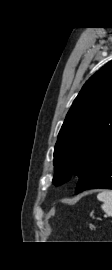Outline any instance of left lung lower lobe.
Masks as SVG:
<instances>
[{
    "label": "left lung lower lobe",
    "instance_id": "left-lung-lower-lobe-1",
    "mask_svg": "<svg viewBox=\"0 0 112 270\" xmlns=\"http://www.w3.org/2000/svg\"><path fill=\"white\" fill-rule=\"evenodd\" d=\"M93 188L112 189V147L91 171L78 182L75 194Z\"/></svg>",
    "mask_w": 112,
    "mask_h": 270
}]
</instances>
